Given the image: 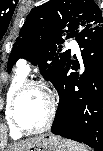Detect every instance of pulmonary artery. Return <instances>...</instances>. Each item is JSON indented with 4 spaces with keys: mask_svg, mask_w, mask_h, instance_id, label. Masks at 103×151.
<instances>
[{
    "mask_svg": "<svg viewBox=\"0 0 103 151\" xmlns=\"http://www.w3.org/2000/svg\"><path fill=\"white\" fill-rule=\"evenodd\" d=\"M69 47L71 48V50L74 52V53H77L79 51V47H78V44L76 41H71L70 44H69ZM18 65L20 67V69H22L23 71H25L26 73L28 71H30V64L25 60V59H21L19 62H18Z\"/></svg>",
    "mask_w": 103,
    "mask_h": 151,
    "instance_id": "e3ab8cb5",
    "label": "pulmonary artery"
}]
</instances>
